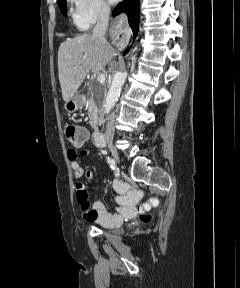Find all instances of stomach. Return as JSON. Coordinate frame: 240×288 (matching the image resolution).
<instances>
[{
    "mask_svg": "<svg viewBox=\"0 0 240 288\" xmlns=\"http://www.w3.org/2000/svg\"><path fill=\"white\" fill-rule=\"evenodd\" d=\"M81 106L82 100L78 94H75L65 103V109L70 113L78 110Z\"/></svg>",
    "mask_w": 240,
    "mask_h": 288,
    "instance_id": "0dacf381",
    "label": "stomach"
}]
</instances>
